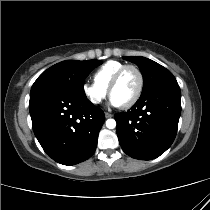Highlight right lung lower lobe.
Listing matches in <instances>:
<instances>
[{
	"label": "right lung lower lobe",
	"mask_w": 210,
	"mask_h": 210,
	"mask_svg": "<svg viewBox=\"0 0 210 210\" xmlns=\"http://www.w3.org/2000/svg\"><path fill=\"white\" fill-rule=\"evenodd\" d=\"M33 131L49 157L75 165L95 152L104 112L86 96L49 90L30 95Z\"/></svg>",
	"instance_id": "98d812e1"
}]
</instances>
